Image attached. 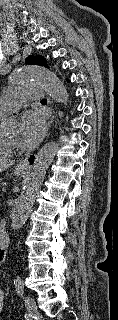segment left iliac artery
<instances>
[{
	"instance_id": "44dca946",
	"label": "left iliac artery",
	"mask_w": 118,
	"mask_h": 320,
	"mask_svg": "<svg viewBox=\"0 0 118 320\" xmlns=\"http://www.w3.org/2000/svg\"><path fill=\"white\" fill-rule=\"evenodd\" d=\"M14 285L16 288L17 293L22 297L24 294V284L21 279H15L14 280Z\"/></svg>"
}]
</instances>
